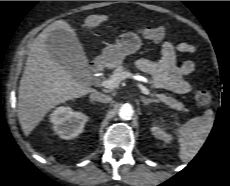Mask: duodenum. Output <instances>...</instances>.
Instances as JSON below:
<instances>
[{"instance_id": "duodenum-1", "label": "duodenum", "mask_w": 230, "mask_h": 186, "mask_svg": "<svg viewBox=\"0 0 230 186\" xmlns=\"http://www.w3.org/2000/svg\"><path fill=\"white\" fill-rule=\"evenodd\" d=\"M102 69V63L101 62H91L89 64V70L92 72V73H97L99 72L100 70Z\"/></svg>"}]
</instances>
